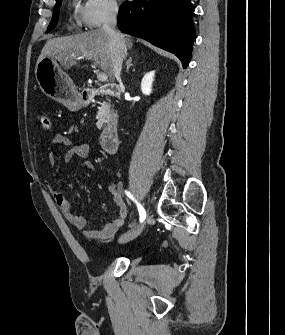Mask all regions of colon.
Segmentation results:
<instances>
[{
    "label": "colon",
    "mask_w": 285,
    "mask_h": 335,
    "mask_svg": "<svg viewBox=\"0 0 285 335\" xmlns=\"http://www.w3.org/2000/svg\"><path fill=\"white\" fill-rule=\"evenodd\" d=\"M40 125L43 130H50L51 128V118L48 113L42 112L39 115Z\"/></svg>",
    "instance_id": "obj_1"
}]
</instances>
